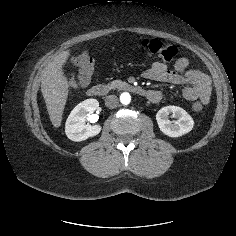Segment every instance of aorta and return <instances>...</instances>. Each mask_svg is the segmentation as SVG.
I'll list each match as a JSON object with an SVG mask.
<instances>
[{
    "mask_svg": "<svg viewBox=\"0 0 236 236\" xmlns=\"http://www.w3.org/2000/svg\"><path fill=\"white\" fill-rule=\"evenodd\" d=\"M120 101H121L122 104L128 105L131 101L130 94L128 92L122 93L121 96H120Z\"/></svg>",
    "mask_w": 236,
    "mask_h": 236,
    "instance_id": "aorta-1",
    "label": "aorta"
}]
</instances>
